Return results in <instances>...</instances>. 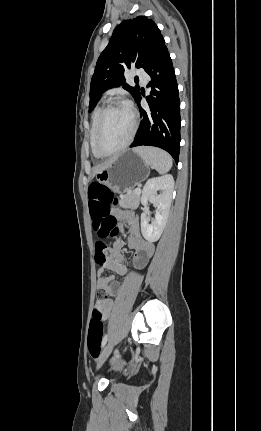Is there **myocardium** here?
I'll use <instances>...</instances> for the list:
<instances>
[{
	"instance_id": "1",
	"label": "myocardium",
	"mask_w": 261,
	"mask_h": 431,
	"mask_svg": "<svg viewBox=\"0 0 261 431\" xmlns=\"http://www.w3.org/2000/svg\"><path fill=\"white\" fill-rule=\"evenodd\" d=\"M119 106L125 107L126 109L129 110V112L131 114V118H132L131 131H130L129 136L127 137L126 141L121 146H119L118 148H116L115 150H112V151H105L102 149V147L100 145V134H101L103 122H104L106 114L109 111H111L112 109L119 107ZM136 130H137V116H136L135 111L129 105H127L121 101H114V102L108 104L107 106H105L101 110V112L99 114L98 121H97L96 129H95L94 145H95V149H96L97 153L102 157H108V156H112V155H115L117 153H120L121 151L125 150L131 144V142L135 136Z\"/></svg>"
}]
</instances>
